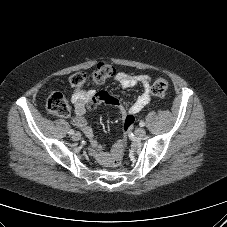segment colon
Listing matches in <instances>:
<instances>
[{"label": "colon", "mask_w": 227, "mask_h": 227, "mask_svg": "<svg viewBox=\"0 0 227 227\" xmlns=\"http://www.w3.org/2000/svg\"><path fill=\"white\" fill-rule=\"evenodd\" d=\"M116 70L115 68L107 63H99L96 66V69L94 70L92 74V80L95 84H102L106 80L112 78L115 76ZM70 85L75 91H81L86 83H87V77L86 74L83 72H77L73 74L69 79ZM168 89V82L165 78H158L155 80L151 87V93L154 97H163ZM46 106L50 113L66 117L70 114V105L68 100L65 98V96L57 91L51 92L46 100ZM135 122V116H129L126 118L124 123L125 130L129 129L133 123ZM123 150H118L112 159V167L118 168L123 163Z\"/></svg>", "instance_id": "1"}]
</instances>
